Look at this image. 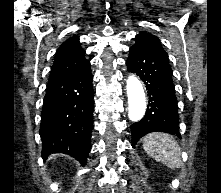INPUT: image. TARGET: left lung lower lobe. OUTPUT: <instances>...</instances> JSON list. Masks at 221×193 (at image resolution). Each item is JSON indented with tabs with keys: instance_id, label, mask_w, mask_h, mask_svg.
<instances>
[{
	"instance_id": "0a47b994",
	"label": "left lung lower lobe",
	"mask_w": 221,
	"mask_h": 193,
	"mask_svg": "<svg viewBox=\"0 0 221 193\" xmlns=\"http://www.w3.org/2000/svg\"><path fill=\"white\" fill-rule=\"evenodd\" d=\"M129 52L128 71L141 78L149 99L145 116L131 125L133 147L150 132H166L180 137L177 98L168 55L137 41Z\"/></svg>"
}]
</instances>
